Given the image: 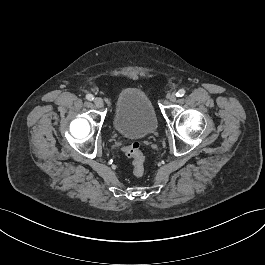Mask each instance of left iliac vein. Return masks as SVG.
Wrapping results in <instances>:
<instances>
[{
    "label": "left iliac vein",
    "mask_w": 265,
    "mask_h": 265,
    "mask_svg": "<svg viewBox=\"0 0 265 265\" xmlns=\"http://www.w3.org/2000/svg\"><path fill=\"white\" fill-rule=\"evenodd\" d=\"M167 98H168L170 101L174 102V101L177 99L176 93H175V92L170 93V94L167 96Z\"/></svg>",
    "instance_id": "left-iliac-vein-1"
}]
</instances>
